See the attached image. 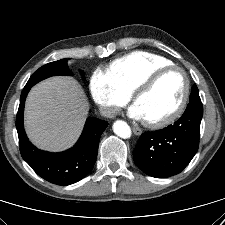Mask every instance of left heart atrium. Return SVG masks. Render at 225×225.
Returning <instances> with one entry per match:
<instances>
[{
	"mask_svg": "<svg viewBox=\"0 0 225 225\" xmlns=\"http://www.w3.org/2000/svg\"><path fill=\"white\" fill-rule=\"evenodd\" d=\"M128 114L134 119H143L141 111L135 104L129 108Z\"/></svg>",
	"mask_w": 225,
	"mask_h": 225,
	"instance_id": "1",
	"label": "left heart atrium"
}]
</instances>
